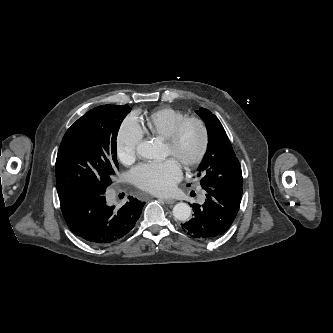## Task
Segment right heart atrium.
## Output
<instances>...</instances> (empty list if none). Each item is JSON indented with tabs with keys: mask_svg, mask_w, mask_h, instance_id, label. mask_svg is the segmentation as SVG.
<instances>
[{
	"mask_svg": "<svg viewBox=\"0 0 333 333\" xmlns=\"http://www.w3.org/2000/svg\"><path fill=\"white\" fill-rule=\"evenodd\" d=\"M143 131L137 119L129 115L121 123L115 138V151L117 158L123 164L134 162L137 147L142 141Z\"/></svg>",
	"mask_w": 333,
	"mask_h": 333,
	"instance_id": "d8ad5b80",
	"label": "right heart atrium"
}]
</instances>
